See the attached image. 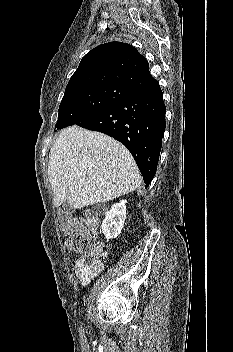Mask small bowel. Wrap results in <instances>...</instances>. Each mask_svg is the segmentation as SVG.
I'll return each mask as SVG.
<instances>
[{
    "label": "small bowel",
    "mask_w": 233,
    "mask_h": 352,
    "mask_svg": "<svg viewBox=\"0 0 233 352\" xmlns=\"http://www.w3.org/2000/svg\"><path fill=\"white\" fill-rule=\"evenodd\" d=\"M89 280H81V282H82V284H86Z\"/></svg>",
    "instance_id": "small-bowel-1"
}]
</instances>
